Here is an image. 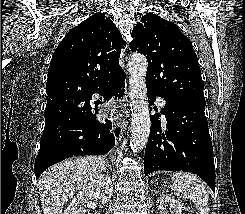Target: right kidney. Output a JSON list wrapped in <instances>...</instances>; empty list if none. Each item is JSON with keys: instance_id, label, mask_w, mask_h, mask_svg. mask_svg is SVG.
<instances>
[{"instance_id": "obj_1", "label": "right kidney", "mask_w": 245, "mask_h": 214, "mask_svg": "<svg viewBox=\"0 0 245 214\" xmlns=\"http://www.w3.org/2000/svg\"><path fill=\"white\" fill-rule=\"evenodd\" d=\"M113 193V185L108 175L97 174L93 176L88 186L73 198L64 214H85L84 207L90 205L93 199L101 200L102 204L107 203Z\"/></svg>"}]
</instances>
